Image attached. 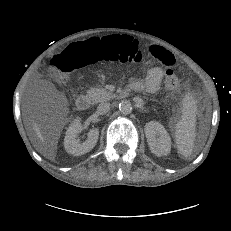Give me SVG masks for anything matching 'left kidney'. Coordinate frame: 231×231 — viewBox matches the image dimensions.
<instances>
[{
  "label": "left kidney",
  "instance_id": "1",
  "mask_svg": "<svg viewBox=\"0 0 231 231\" xmlns=\"http://www.w3.org/2000/svg\"><path fill=\"white\" fill-rule=\"evenodd\" d=\"M144 131L152 153L156 156L170 153L171 139L163 125L156 121H150L146 123Z\"/></svg>",
  "mask_w": 231,
  "mask_h": 231
}]
</instances>
